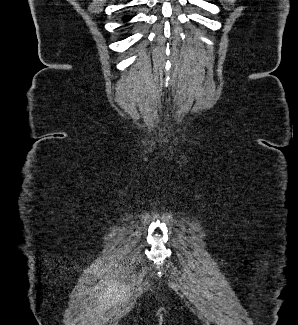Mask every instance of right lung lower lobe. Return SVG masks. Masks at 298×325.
Masks as SVG:
<instances>
[{"label":"right lung lower lobe","mask_w":298,"mask_h":325,"mask_svg":"<svg viewBox=\"0 0 298 325\" xmlns=\"http://www.w3.org/2000/svg\"><path fill=\"white\" fill-rule=\"evenodd\" d=\"M130 18H131V16H124L123 21L126 22V21L130 20Z\"/></svg>","instance_id":"98d812e1"}]
</instances>
